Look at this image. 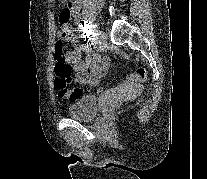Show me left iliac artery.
I'll return each instance as SVG.
<instances>
[{
    "mask_svg": "<svg viewBox=\"0 0 207 179\" xmlns=\"http://www.w3.org/2000/svg\"><path fill=\"white\" fill-rule=\"evenodd\" d=\"M89 28H90V31H91V35L96 36L97 35L96 25L91 24V25H89Z\"/></svg>",
    "mask_w": 207,
    "mask_h": 179,
    "instance_id": "44dca946",
    "label": "left iliac artery"
}]
</instances>
